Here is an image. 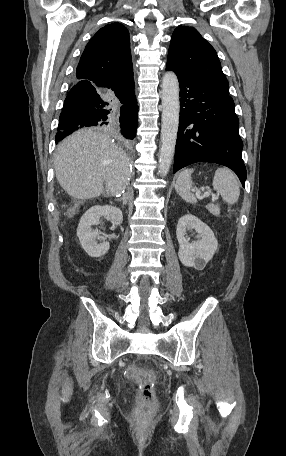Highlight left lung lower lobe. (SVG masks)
I'll use <instances>...</instances> for the list:
<instances>
[{
	"mask_svg": "<svg viewBox=\"0 0 286 456\" xmlns=\"http://www.w3.org/2000/svg\"><path fill=\"white\" fill-rule=\"evenodd\" d=\"M180 118L173 172L196 162L218 163L232 169L245 187L243 143L233 99L202 79L179 72Z\"/></svg>",
	"mask_w": 286,
	"mask_h": 456,
	"instance_id": "left-lung-lower-lobe-1",
	"label": "left lung lower lobe"
}]
</instances>
